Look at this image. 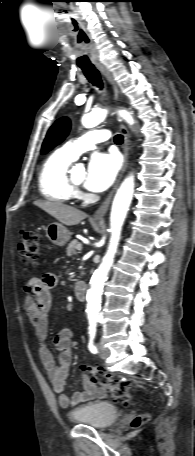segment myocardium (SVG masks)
Masks as SVG:
<instances>
[{"instance_id":"obj_1","label":"myocardium","mask_w":195,"mask_h":456,"mask_svg":"<svg viewBox=\"0 0 195 456\" xmlns=\"http://www.w3.org/2000/svg\"><path fill=\"white\" fill-rule=\"evenodd\" d=\"M68 181H69V184L73 187L74 190H77L80 188V185L81 184H78L76 182L73 181L71 175H68Z\"/></svg>"}]
</instances>
